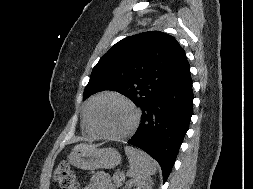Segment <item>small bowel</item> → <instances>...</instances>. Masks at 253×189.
Wrapping results in <instances>:
<instances>
[{"label":"small bowel","mask_w":253,"mask_h":189,"mask_svg":"<svg viewBox=\"0 0 253 189\" xmlns=\"http://www.w3.org/2000/svg\"><path fill=\"white\" fill-rule=\"evenodd\" d=\"M85 189H113L109 177L104 172L95 173Z\"/></svg>","instance_id":"1"}]
</instances>
